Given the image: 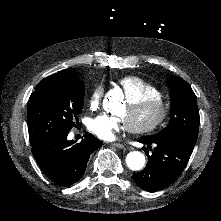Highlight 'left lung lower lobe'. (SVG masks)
<instances>
[{"label":"left lung lower lobe","instance_id":"0a47b994","mask_svg":"<svg viewBox=\"0 0 221 221\" xmlns=\"http://www.w3.org/2000/svg\"><path fill=\"white\" fill-rule=\"evenodd\" d=\"M138 141L147 144L149 150L152 144L156 145L151 156L145 147L142 148L148 155V164L141 172L133 174L136 184L148 192L171 185L185 168L194 148V145L172 135L143 136Z\"/></svg>","mask_w":221,"mask_h":221}]
</instances>
